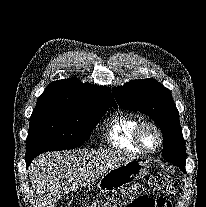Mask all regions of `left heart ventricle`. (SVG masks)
I'll use <instances>...</instances> for the list:
<instances>
[{
    "label": "left heart ventricle",
    "instance_id": "left-heart-ventricle-1",
    "mask_svg": "<svg viewBox=\"0 0 206 207\" xmlns=\"http://www.w3.org/2000/svg\"><path fill=\"white\" fill-rule=\"evenodd\" d=\"M143 144L149 148L152 149L157 145L158 142V136L154 129L151 127H144L141 133Z\"/></svg>",
    "mask_w": 206,
    "mask_h": 207
}]
</instances>
